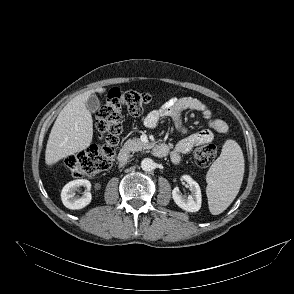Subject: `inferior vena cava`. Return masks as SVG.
<instances>
[{"mask_svg":"<svg viewBox=\"0 0 294 294\" xmlns=\"http://www.w3.org/2000/svg\"><path fill=\"white\" fill-rule=\"evenodd\" d=\"M122 162L125 163L126 162V159H124Z\"/></svg>","mask_w":294,"mask_h":294,"instance_id":"602c4592","label":"inferior vena cava"}]
</instances>
